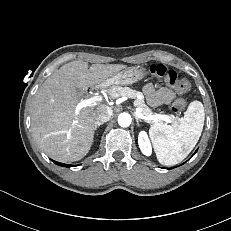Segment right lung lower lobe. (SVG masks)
<instances>
[{
  "label": "right lung lower lobe",
  "mask_w": 231,
  "mask_h": 231,
  "mask_svg": "<svg viewBox=\"0 0 231 231\" xmlns=\"http://www.w3.org/2000/svg\"><path fill=\"white\" fill-rule=\"evenodd\" d=\"M55 164L59 165V166H64V167H71V165H68V164H63V163H59V162H56V161H53Z\"/></svg>",
  "instance_id": "right-lung-lower-lobe-1"
}]
</instances>
